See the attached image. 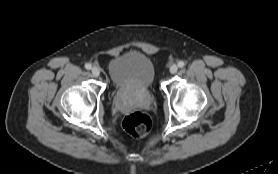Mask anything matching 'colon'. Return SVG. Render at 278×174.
<instances>
[{
  "mask_svg": "<svg viewBox=\"0 0 278 174\" xmlns=\"http://www.w3.org/2000/svg\"><path fill=\"white\" fill-rule=\"evenodd\" d=\"M124 130L134 137L145 136L151 129V118L142 111L126 115L122 121Z\"/></svg>",
  "mask_w": 278,
  "mask_h": 174,
  "instance_id": "obj_1",
  "label": "colon"
}]
</instances>
